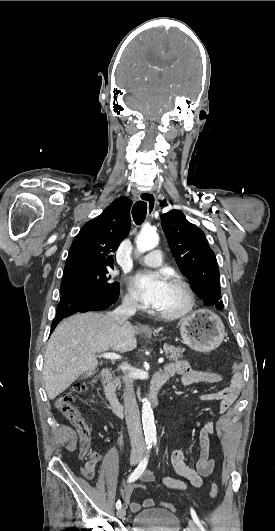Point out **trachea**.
Returning a JSON list of instances; mask_svg holds the SVG:
<instances>
[{
	"mask_svg": "<svg viewBox=\"0 0 275 531\" xmlns=\"http://www.w3.org/2000/svg\"><path fill=\"white\" fill-rule=\"evenodd\" d=\"M147 214V203L144 201H137L132 208L133 220L136 224H142Z\"/></svg>",
	"mask_w": 275,
	"mask_h": 531,
	"instance_id": "1",
	"label": "trachea"
}]
</instances>
